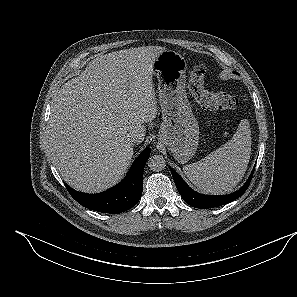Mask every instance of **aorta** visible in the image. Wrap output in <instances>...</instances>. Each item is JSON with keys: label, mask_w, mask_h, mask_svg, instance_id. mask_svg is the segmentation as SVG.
I'll use <instances>...</instances> for the list:
<instances>
[{"label": "aorta", "mask_w": 297, "mask_h": 297, "mask_svg": "<svg viewBox=\"0 0 297 297\" xmlns=\"http://www.w3.org/2000/svg\"><path fill=\"white\" fill-rule=\"evenodd\" d=\"M148 166L150 170L158 172L165 168L166 163L162 155H153L148 159Z\"/></svg>", "instance_id": "obj_1"}]
</instances>
